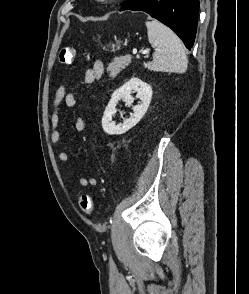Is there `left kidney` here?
<instances>
[{
	"label": "left kidney",
	"mask_w": 249,
	"mask_h": 294,
	"mask_svg": "<svg viewBox=\"0 0 249 294\" xmlns=\"http://www.w3.org/2000/svg\"><path fill=\"white\" fill-rule=\"evenodd\" d=\"M132 92H136V98L140 99V103L133 107V115L130 118L124 119L122 124L116 125L112 121L113 115L116 113V105L120 99H123L127 105H131L134 102ZM152 88L149 84L143 82L139 78L133 77L128 82L123 84L112 94L104 115L102 117V127L104 131L109 135H120L127 132L134 127L146 113L152 98Z\"/></svg>",
	"instance_id": "5707ae66"
}]
</instances>
